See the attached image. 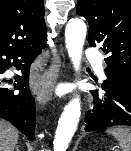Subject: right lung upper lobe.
Instances as JSON below:
<instances>
[{
  "instance_id": "obj_1",
  "label": "right lung upper lobe",
  "mask_w": 131,
  "mask_h": 151,
  "mask_svg": "<svg viewBox=\"0 0 131 151\" xmlns=\"http://www.w3.org/2000/svg\"><path fill=\"white\" fill-rule=\"evenodd\" d=\"M46 43L43 0H0V49Z\"/></svg>"
}]
</instances>
